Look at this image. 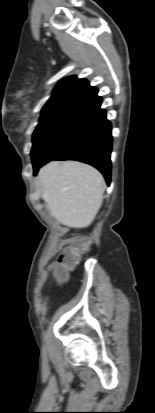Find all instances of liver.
Returning <instances> with one entry per match:
<instances>
[{
  "label": "liver",
  "mask_w": 155,
  "mask_h": 413,
  "mask_svg": "<svg viewBox=\"0 0 155 413\" xmlns=\"http://www.w3.org/2000/svg\"><path fill=\"white\" fill-rule=\"evenodd\" d=\"M38 179L42 199L59 223L85 228L93 222L105 190L98 170L77 161H52L40 169Z\"/></svg>",
  "instance_id": "6515ba94"
}]
</instances>
